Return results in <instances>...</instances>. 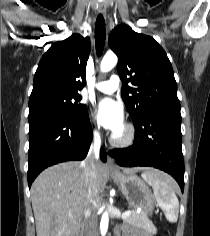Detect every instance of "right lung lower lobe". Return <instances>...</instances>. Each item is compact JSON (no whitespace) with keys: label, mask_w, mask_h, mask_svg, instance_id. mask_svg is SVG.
<instances>
[{"label":"right lung lower lobe","mask_w":210,"mask_h":236,"mask_svg":"<svg viewBox=\"0 0 210 236\" xmlns=\"http://www.w3.org/2000/svg\"><path fill=\"white\" fill-rule=\"evenodd\" d=\"M28 185L48 166L70 160H83L92 141L89 117L72 119L49 116L29 122ZM100 158L106 162V151Z\"/></svg>","instance_id":"obj_1"}]
</instances>
